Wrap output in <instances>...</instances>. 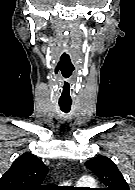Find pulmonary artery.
Returning a JSON list of instances; mask_svg holds the SVG:
<instances>
[{
	"label": "pulmonary artery",
	"instance_id": "obj_1",
	"mask_svg": "<svg viewBox=\"0 0 135 190\" xmlns=\"http://www.w3.org/2000/svg\"><path fill=\"white\" fill-rule=\"evenodd\" d=\"M88 181H90L89 178L84 177L79 182H88Z\"/></svg>",
	"mask_w": 135,
	"mask_h": 190
}]
</instances>
